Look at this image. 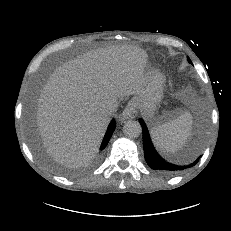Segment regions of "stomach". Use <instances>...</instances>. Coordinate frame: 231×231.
<instances>
[{"label": "stomach", "instance_id": "0dacf381", "mask_svg": "<svg viewBox=\"0 0 231 231\" xmlns=\"http://www.w3.org/2000/svg\"><path fill=\"white\" fill-rule=\"evenodd\" d=\"M164 83L165 77L162 72L148 67L145 72L144 85L132 99V102L150 124L156 123L155 113L163 98Z\"/></svg>", "mask_w": 231, "mask_h": 231}]
</instances>
